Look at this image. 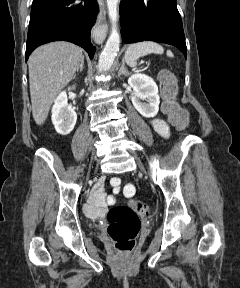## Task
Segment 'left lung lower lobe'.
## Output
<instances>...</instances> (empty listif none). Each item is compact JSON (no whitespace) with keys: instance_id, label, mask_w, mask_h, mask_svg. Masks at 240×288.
<instances>
[{"instance_id":"0a47b994","label":"left lung lower lobe","mask_w":240,"mask_h":288,"mask_svg":"<svg viewBox=\"0 0 240 288\" xmlns=\"http://www.w3.org/2000/svg\"><path fill=\"white\" fill-rule=\"evenodd\" d=\"M124 43L156 41L174 45L187 56L176 0H121Z\"/></svg>"}]
</instances>
